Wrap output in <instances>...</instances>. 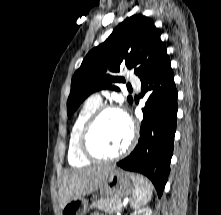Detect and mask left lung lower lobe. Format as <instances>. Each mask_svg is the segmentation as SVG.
Here are the masks:
<instances>
[{"label":"left lung lower lobe","mask_w":221,"mask_h":215,"mask_svg":"<svg viewBox=\"0 0 221 215\" xmlns=\"http://www.w3.org/2000/svg\"><path fill=\"white\" fill-rule=\"evenodd\" d=\"M139 78L141 96L150 93L142 109L144 119L140 139L134 151L117 166L147 176L160 197L170 172L178 109L177 90L166 47L158 52Z\"/></svg>","instance_id":"0a47b994"}]
</instances>
